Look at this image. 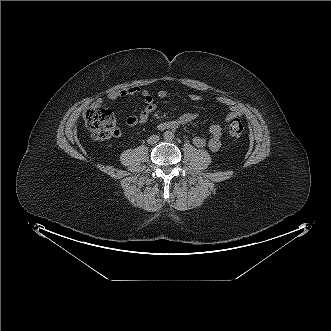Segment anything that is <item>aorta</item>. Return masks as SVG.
I'll return each mask as SVG.
<instances>
[{"label":"aorta","mask_w":331,"mask_h":331,"mask_svg":"<svg viewBox=\"0 0 331 331\" xmlns=\"http://www.w3.org/2000/svg\"><path fill=\"white\" fill-rule=\"evenodd\" d=\"M164 138L167 140V141H171L173 138H174V132L173 131H165L164 132Z\"/></svg>","instance_id":"obj_1"}]
</instances>
